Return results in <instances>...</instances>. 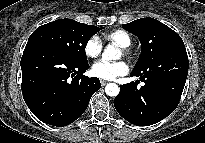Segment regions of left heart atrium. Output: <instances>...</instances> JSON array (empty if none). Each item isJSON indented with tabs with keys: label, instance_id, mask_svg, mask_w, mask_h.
I'll return each instance as SVG.
<instances>
[{
	"label": "left heart atrium",
	"instance_id": "39dd6f15",
	"mask_svg": "<svg viewBox=\"0 0 205 143\" xmlns=\"http://www.w3.org/2000/svg\"><path fill=\"white\" fill-rule=\"evenodd\" d=\"M128 65L124 61L107 62L104 60L93 64L91 73L93 76L103 80H113L128 72Z\"/></svg>",
	"mask_w": 205,
	"mask_h": 143
}]
</instances>
